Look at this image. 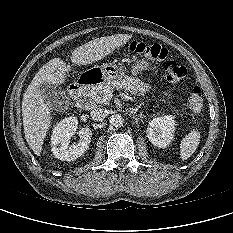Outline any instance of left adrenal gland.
<instances>
[{"mask_svg": "<svg viewBox=\"0 0 233 233\" xmlns=\"http://www.w3.org/2000/svg\"><path fill=\"white\" fill-rule=\"evenodd\" d=\"M142 105H144V104H143V103L139 104L136 108L132 109L131 112H132V113H133V112H137L138 109H139Z\"/></svg>", "mask_w": 233, "mask_h": 233, "instance_id": "obj_1", "label": "left adrenal gland"}]
</instances>
